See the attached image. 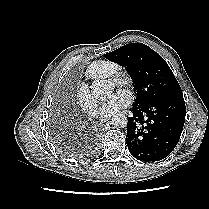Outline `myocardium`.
Instances as JSON below:
<instances>
[{
  "label": "myocardium",
  "instance_id": "1",
  "mask_svg": "<svg viewBox=\"0 0 209 209\" xmlns=\"http://www.w3.org/2000/svg\"><path fill=\"white\" fill-rule=\"evenodd\" d=\"M109 81L116 87L130 88L133 84V78L127 71H118L109 78Z\"/></svg>",
  "mask_w": 209,
  "mask_h": 209
}]
</instances>
